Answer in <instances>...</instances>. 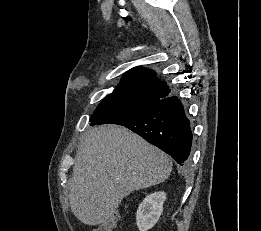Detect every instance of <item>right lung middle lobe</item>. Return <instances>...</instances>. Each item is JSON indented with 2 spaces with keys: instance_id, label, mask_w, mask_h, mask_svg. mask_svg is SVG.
I'll use <instances>...</instances> for the list:
<instances>
[{
  "instance_id": "right-lung-middle-lobe-1",
  "label": "right lung middle lobe",
  "mask_w": 261,
  "mask_h": 231,
  "mask_svg": "<svg viewBox=\"0 0 261 231\" xmlns=\"http://www.w3.org/2000/svg\"><path fill=\"white\" fill-rule=\"evenodd\" d=\"M160 99L139 88L115 89L96 108L90 118L91 125L116 123L157 104Z\"/></svg>"
}]
</instances>
